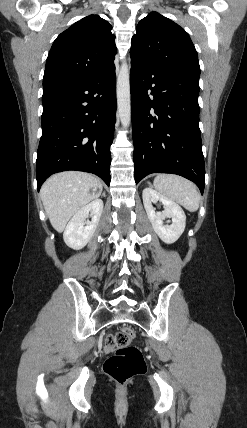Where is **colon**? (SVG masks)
Returning a JSON list of instances; mask_svg holds the SVG:
<instances>
[{
	"mask_svg": "<svg viewBox=\"0 0 247 428\" xmlns=\"http://www.w3.org/2000/svg\"><path fill=\"white\" fill-rule=\"evenodd\" d=\"M133 338L134 331L125 327L105 339V346L112 354L104 363V372L121 385L146 369L140 349L131 345Z\"/></svg>",
	"mask_w": 247,
	"mask_h": 428,
	"instance_id": "1",
	"label": "colon"
}]
</instances>
